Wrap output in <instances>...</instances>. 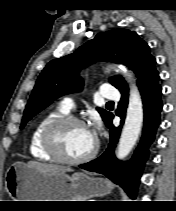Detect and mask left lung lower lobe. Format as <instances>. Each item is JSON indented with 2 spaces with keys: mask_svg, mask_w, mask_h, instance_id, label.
<instances>
[{
  "mask_svg": "<svg viewBox=\"0 0 176 211\" xmlns=\"http://www.w3.org/2000/svg\"><path fill=\"white\" fill-rule=\"evenodd\" d=\"M159 74L139 86L144 108V129L141 142L134 152L132 159L121 162L114 157V148L118 141L121 125L124 123L125 112L128 103V91L122 92L116 114L121 117V125L114 127L113 115L110 116L106 125L110 129V144L107 150L99 158L80 165L81 168L106 175L114 183L120 185L130 198H135L139 179L142 174L144 163L148 158V147L153 142L156 129L160 123L162 110V88L159 84Z\"/></svg>",
  "mask_w": 176,
  "mask_h": 211,
  "instance_id": "0a47b994",
  "label": "left lung lower lobe"
}]
</instances>
